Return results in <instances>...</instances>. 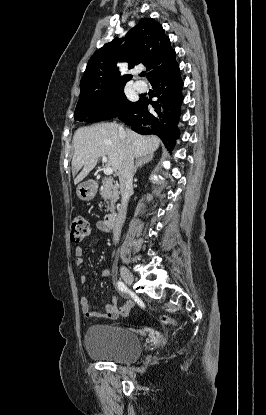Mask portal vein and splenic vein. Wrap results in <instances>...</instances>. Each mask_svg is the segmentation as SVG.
Masks as SVG:
<instances>
[{"label": "portal vein and splenic vein", "mask_w": 266, "mask_h": 415, "mask_svg": "<svg viewBox=\"0 0 266 415\" xmlns=\"http://www.w3.org/2000/svg\"><path fill=\"white\" fill-rule=\"evenodd\" d=\"M102 160H103V162H107V157L103 156ZM112 173H113V168L112 167L108 166L104 169V174L105 175H111Z\"/></svg>", "instance_id": "18ae733b"}]
</instances>
